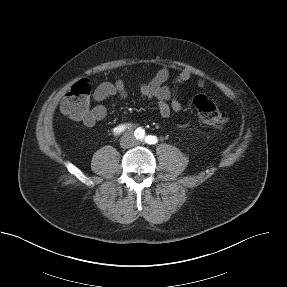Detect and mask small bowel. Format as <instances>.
I'll list each match as a JSON object with an SVG mask.
<instances>
[{
    "mask_svg": "<svg viewBox=\"0 0 287 287\" xmlns=\"http://www.w3.org/2000/svg\"><path fill=\"white\" fill-rule=\"evenodd\" d=\"M191 77V71L183 69L174 78V84L181 85L189 81ZM170 79V70L167 67H162L151 81L141 84L139 88L140 96L155 101L160 115L165 118L171 112H179L182 109V104L177 99L175 90L166 85ZM204 85V79H198V86L203 88ZM116 95L123 99L128 96L125 83L122 79H117L114 83L104 82L98 85L93 92V100L96 102V105L88 111L81 122L86 127H94L98 121L103 120L107 115L106 107L102 102Z\"/></svg>",
    "mask_w": 287,
    "mask_h": 287,
    "instance_id": "small-bowel-1",
    "label": "small bowel"
}]
</instances>
